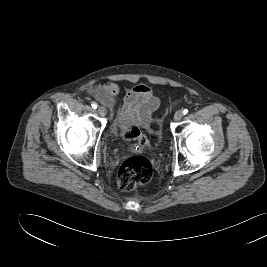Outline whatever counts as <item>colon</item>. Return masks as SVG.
Listing matches in <instances>:
<instances>
[{"instance_id": "1", "label": "colon", "mask_w": 267, "mask_h": 267, "mask_svg": "<svg viewBox=\"0 0 267 267\" xmlns=\"http://www.w3.org/2000/svg\"><path fill=\"white\" fill-rule=\"evenodd\" d=\"M124 141H137L140 145L150 147L148 138L137 128L129 127L122 132ZM153 177V166L143 156H133L125 160L119 168L117 185L123 191H131L148 184Z\"/></svg>"}]
</instances>
